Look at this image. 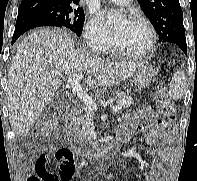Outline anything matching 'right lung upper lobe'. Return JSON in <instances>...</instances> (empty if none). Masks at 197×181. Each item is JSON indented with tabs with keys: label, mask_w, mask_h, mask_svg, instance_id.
<instances>
[{
	"label": "right lung upper lobe",
	"mask_w": 197,
	"mask_h": 181,
	"mask_svg": "<svg viewBox=\"0 0 197 181\" xmlns=\"http://www.w3.org/2000/svg\"><path fill=\"white\" fill-rule=\"evenodd\" d=\"M37 4H50L58 6H74L79 4V0H22L20 9H28Z\"/></svg>",
	"instance_id": "1"
}]
</instances>
